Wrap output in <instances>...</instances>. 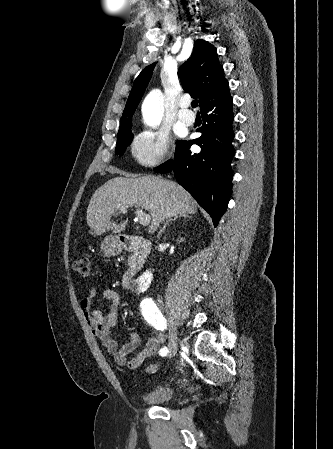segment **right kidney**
<instances>
[{"label":"right kidney","mask_w":333,"mask_h":449,"mask_svg":"<svg viewBox=\"0 0 333 449\" xmlns=\"http://www.w3.org/2000/svg\"><path fill=\"white\" fill-rule=\"evenodd\" d=\"M153 279L150 271L144 272L136 281V291H146Z\"/></svg>","instance_id":"ca27d5eb"}]
</instances>
